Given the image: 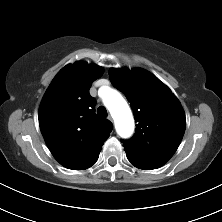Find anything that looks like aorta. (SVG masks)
Returning <instances> with one entry per match:
<instances>
[{
  "label": "aorta",
  "instance_id": "762f6f07",
  "mask_svg": "<svg viewBox=\"0 0 222 222\" xmlns=\"http://www.w3.org/2000/svg\"><path fill=\"white\" fill-rule=\"evenodd\" d=\"M103 103L114 119L117 133L123 138L129 137L134 130V119L122 95L116 90L108 89L103 97Z\"/></svg>",
  "mask_w": 222,
  "mask_h": 222
}]
</instances>
